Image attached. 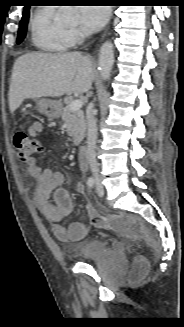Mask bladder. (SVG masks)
<instances>
[{
    "label": "bladder",
    "instance_id": "31cf9c89",
    "mask_svg": "<svg viewBox=\"0 0 184 327\" xmlns=\"http://www.w3.org/2000/svg\"><path fill=\"white\" fill-rule=\"evenodd\" d=\"M73 250L76 252L78 259L82 262L97 263L103 258H112L115 265L120 269H126L127 261L119 256L112 246L101 239H94L86 243L75 246Z\"/></svg>",
    "mask_w": 184,
    "mask_h": 327
}]
</instances>
